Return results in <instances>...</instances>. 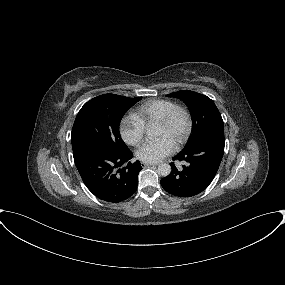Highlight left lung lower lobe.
<instances>
[{
  "instance_id": "0a47b994",
  "label": "left lung lower lobe",
  "mask_w": 285,
  "mask_h": 285,
  "mask_svg": "<svg viewBox=\"0 0 285 285\" xmlns=\"http://www.w3.org/2000/svg\"><path fill=\"white\" fill-rule=\"evenodd\" d=\"M224 145V129H215L173 157L188 164L183 169H177L173 162L170 164L171 173L161 180L164 190L178 197H191L204 191L217 173Z\"/></svg>"
}]
</instances>
